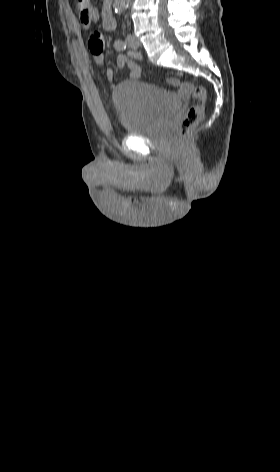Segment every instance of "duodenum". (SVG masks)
Masks as SVG:
<instances>
[{
  "mask_svg": "<svg viewBox=\"0 0 280 472\" xmlns=\"http://www.w3.org/2000/svg\"><path fill=\"white\" fill-rule=\"evenodd\" d=\"M103 26L108 31H113L116 28V20L109 4L105 6L103 11Z\"/></svg>",
  "mask_w": 280,
  "mask_h": 472,
  "instance_id": "obj_1",
  "label": "duodenum"
}]
</instances>
